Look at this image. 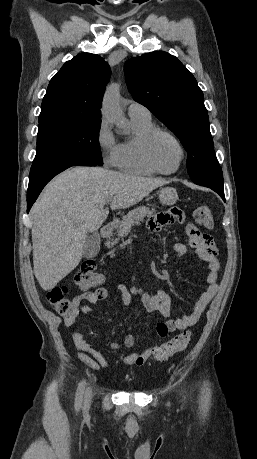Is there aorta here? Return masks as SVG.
Instances as JSON below:
<instances>
[{
  "instance_id": "1",
  "label": "aorta",
  "mask_w": 257,
  "mask_h": 459,
  "mask_svg": "<svg viewBox=\"0 0 257 459\" xmlns=\"http://www.w3.org/2000/svg\"><path fill=\"white\" fill-rule=\"evenodd\" d=\"M118 96V86L115 84L110 85L105 93L102 114L106 121L115 125L120 130H125L127 121L119 107Z\"/></svg>"
}]
</instances>
